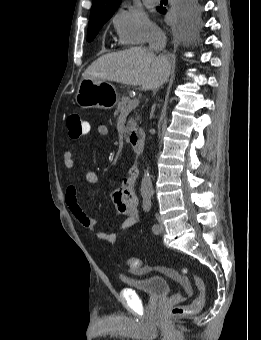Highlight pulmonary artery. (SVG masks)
Returning a JSON list of instances; mask_svg holds the SVG:
<instances>
[{"instance_id":"obj_1","label":"pulmonary artery","mask_w":261,"mask_h":340,"mask_svg":"<svg viewBox=\"0 0 261 340\" xmlns=\"http://www.w3.org/2000/svg\"><path fill=\"white\" fill-rule=\"evenodd\" d=\"M150 1H152V2H158L159 0H150Z\"/></svg>"}]
</instances>
